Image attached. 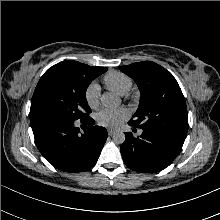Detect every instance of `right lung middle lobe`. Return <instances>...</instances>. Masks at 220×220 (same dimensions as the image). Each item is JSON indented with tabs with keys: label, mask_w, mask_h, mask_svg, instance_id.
I'll list each match as a JSON object with an SVG mask.
<instances>
[{
	"label": "right lung middle lobe",
	"mask_w": 220,
	"mask_h": 220,
	"mask_svg": "<svg viewBox=\"0 0 220 220\" xmlns=\"http://www.w3.org/2000/svg\"><path fill=\"white\" fill-rule=\"evenodd\" d=\"M106 71V67L72 60L50 67L36 86L30 112H45L69 121L87 119L91 112L85 96L87 87Z\"/></svg>",
	"instance_id": "dd1d6c3e"
}]
</instances>
